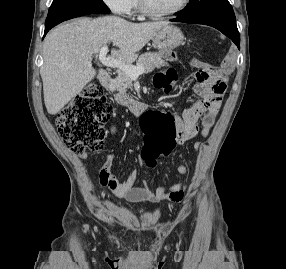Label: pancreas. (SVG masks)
I'll list each match as a JSON object with an SVG mask.
<instances>
[{
	"label": "pancreas",
	"instance_id": "pancreas-1",
	"mask_svg": "<svg viewBox=\"0 0 286 269\" xmlns=\"http://www.w3.org/2000/svg\"><path fill=\"white\" fill-rule=\"evenodd\" d=\"M168 64L163 60L162 56L158 53H144L142 54L137 62V67H142L144 69V73H150L155 68H160L163 66H167ZM133 79L127 75L125 72H119L118 76L114 80V87L118 92L116 97L118 100H122L127 97V90L132 89Z\"/></svg>",
	"mask_w": 286,
	"mask_h": 269
}]
</instances>
